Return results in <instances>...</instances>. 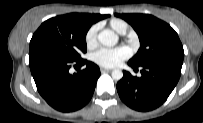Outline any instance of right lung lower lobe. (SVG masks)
<instances>
[{"label": "right lung lower lobe", "mask_w": 203, "mask_h": 123, "mask_svg": "<svg viewBox=\"0 0 203 123\" xmlns=\"http://www.w3.org/2000/svg\"><path fill=\"white\" fill-rule=\"evenodd\" d=\"M86 65L71 74V65ZM29 66L40 95L56 110L75 111L86 105L94 92L100 69L84 59L70 61L57 55H29Z\"/></svg>", "instance_id": "1"}]
</instances>
